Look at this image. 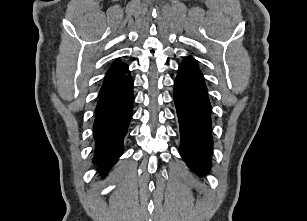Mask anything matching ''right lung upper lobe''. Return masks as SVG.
I'll use <instances>...</instances> for the list:
<instances>
[{
    "instance_id": "right-lung-upper-lobe-1",
    "label": "right lung upper lobe",
    "mask_w": 307,
    "mask_h": 221,
    "mask_svg": "<svg viewBox=\"0 0 307 221\" xmlns=\"http://www.w3.org/2000/svg\"><path fill=\"white\" fill-rule=\"evenodd\" d=\"M130 79L131 77L128 71V66L117 60L107 71L106 78L100 92L116 88Z\"/></svg>"
}]
</instances>
